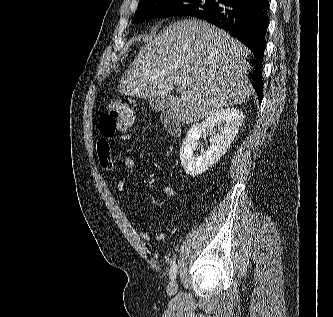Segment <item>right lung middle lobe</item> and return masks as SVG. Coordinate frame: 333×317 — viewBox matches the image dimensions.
I'll return each instance as SVG.
<instances>
[{
    "mask_svg": "<svg viewBox=\"0 0 333 317\" xmlns=\"http://www.w3.org/2000/svg\"><path fill=\"white\" fill-rule=\"evenodd\" d=\"M219 6L216 0H142L139 2L132 23L163 16H195Z\"/></svg>",
    "mask_w": 333,
    "mask_h": 317,
    "instance_id": "right-lung-middle-lobe-1",
    "label": "right lung middle lobe"
}]
</instances>
